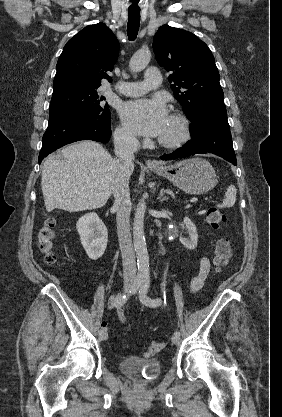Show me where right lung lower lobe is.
<instances>
[{"mask_svg":"<svg viewBox=\"0 0 282 417\" xmlns=\"http://www.w3.org/2000/svg\"><path fill=\"white\" fill-rule=\"evenodd\" d=\"M110 119V114L98 116L83 111H70L49 119L39 163L51 152L75 141L108 142L111 136Z\"/></svg>","mask_w":282,"mask_h":417,"instance_id":"1","label":"right lung lower lobe"}]
</instances>
